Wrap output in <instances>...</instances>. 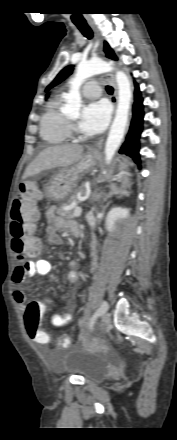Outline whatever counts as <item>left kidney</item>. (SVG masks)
Wrapping results in <instances>:
<instances>
[{"mask_svg": "<svg viewBox=\"0 0 177 440\" xmlns=\"http://www.w3.org/2000/svg\"><path fill=\"white\" fill-rule=\"evenodd\" d=\"M125 214H127V211L125 209L122 208H113L107 216V225L108 228L111 229L114 221L116 220V218L118 217H123Z\"/></svg>", "mask_w": 177, "mask_h": 440, "instance_id": "1", "label": "left kidney"}]
</instances>
